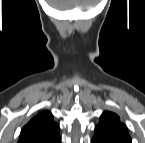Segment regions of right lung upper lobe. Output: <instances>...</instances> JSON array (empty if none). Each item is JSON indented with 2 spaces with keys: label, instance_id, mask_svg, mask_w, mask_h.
<instances>
[{
  "label": "right lung upper lobe",
  "instance_id": "obj_1",
  "mask_svg": "<svg viewBox=\"0 0 145 143\" xmlns=\"http://www.w3.org/2000/svg\"><path fill=\"white\" fill-rule=\"evenodd\" d=\"M59 126L51 112L45 110L22 129L18 143H59Z\"/></svg>",
  "mask_w": 145,
  "mask_h": 143
}]
</instances>
